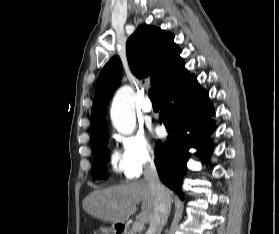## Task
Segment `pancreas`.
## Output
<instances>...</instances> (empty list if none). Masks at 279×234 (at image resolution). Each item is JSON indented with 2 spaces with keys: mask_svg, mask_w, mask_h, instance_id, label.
Returning a JSON list of instances; mask_svg holds the SVG:
<instances>
[{
  "mask_svg": "<svg viewBox=\"0 0 279 234\" xmlns=\"http://www.w3.org/2000/svg\"><path fill=\"white\" fill-rule=\"evenodd\" d=\"M127 234H136V232L132 229Z\"/></svg>",
  "mask_w": 279,
  "mask_h": 234,
  "instance_id": "pancreas-1",
  "label": "pancreas"
}]
</instances>
